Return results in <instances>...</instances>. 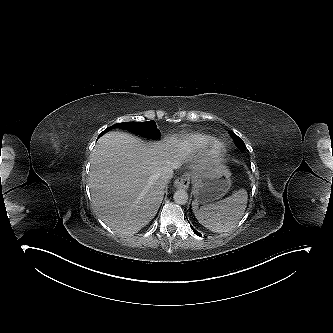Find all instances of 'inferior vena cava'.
<instances>
[{
  "label": "inferior vena cava",
  "instance_id": "obj_1",
  "mask_svg": "<svg viewBox=\"0 0 333 333\" xmlns=\"http://www.w3.org/2000/svg\"><path fill=\"white\" fill-rule=\"evenodd\" d=\"M174 168H176L175 164H173L172 166H165L161 169L160 179L164 183H167L173 177V169Z\"/></svg>",
  "mask_w": 333,
  "mask_h": 333
}]
</instances>
